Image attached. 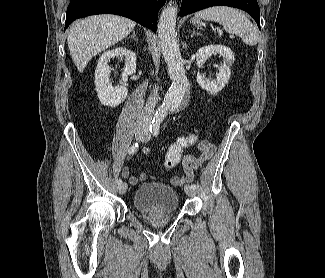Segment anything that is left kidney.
<instances>
[{"mask_svg":"<svg viewBox=\"0 0 325 278\" xmlns=\"http://www.w3.org/2000/svg\"><path fill=\"white\" fill-rule=\"evenodd\" d=\"M219 54L223 57V64L219 67V73L216 80L206 79L200 72L197 73V83L202 89L211 94H217L227 84L231 75V66L234 63V54L232 50L223 45H208L200 48L196 53V63L200 68L203 63L212 55Z\"/></svg>","mask_w":325,"mask_h":278,"instance_id":"left-kidney-1","label":"left kidney"}]
</instances>
